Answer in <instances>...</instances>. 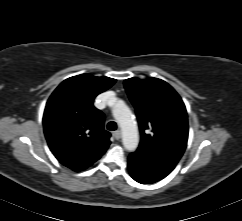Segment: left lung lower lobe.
Masks as SVG:
<instances>
[{
    "mask_svg": "<svg viewBox=\"0 0 242 221\" xmlns=\"http://www.w3.org/2000/svg\"><path fill=\"white\" fill-rule=\"evenodd\" d=\"M175 166L163 158L138 150L128 157L129 173L141 184H151L165 178Z\"/></svg>",
    "mask_w": 242,
    "mask_h": 221,
    "instance_id": "1",
    "label": "left lung lower lobe"
}]
</instances>
